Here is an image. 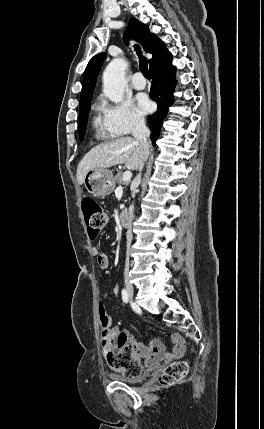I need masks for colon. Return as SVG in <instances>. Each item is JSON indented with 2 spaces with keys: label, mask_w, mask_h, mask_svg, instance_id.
Wrapping results in <instances>:
<instances>
[{
  "label": "colon",
  "mask_w": 264,
  "mask_h": 429,
  "mask_svg": "<svg viewBox=\"0 0 264 429\" xmlns=\"http://www.w3.org/2000/svg\"><path fill=\"white\" fill-rule=\"evenodd\" d=\"M82 211L90 236L95 237L107 224L108 213L95 199L85 196L82 199ZM102 326V345L107 366L114 372L132 377L141 372V365L134 356L128 336L121 331L109 328V318L104 306L98 307ZM188 373V365L176 361L166 366L158 376V382L170 386L181 381Z\"/></svg>",
  "instance_id": "1"
}]
</instances>
